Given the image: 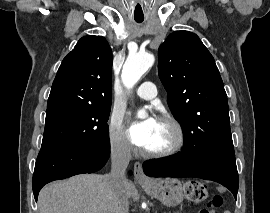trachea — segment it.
Segmentation results:
<instances>
[{"label":"trachea","instance_id":"trachea-1","mask_svg":"<svg viewBox=\"0 0 270 213\" xmlns=\"http://www.w3.org/2000/svg\"><path fill=\"white\" fill-rule=\"evenodd\" d=\"M143 20H136L137 23H141Z\"/></svg>","mask_w":270,"mask_h":213}]
</instances>
